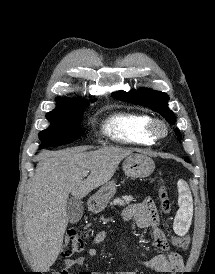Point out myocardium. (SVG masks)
I'll list each match as a JSON object with an SVG mask.
<instances>
[{"instance_id":"myocardium-1","label":"myocardium","mask_w":215,"mask_h":274,"mask_svg":"<svg viewBox=\"0 0 215 274\" xmlns=\"http://www.w3.org/2000/svg\"><path fill=\"white\" fill-rule=\"evenodd\" d=\"M148 133L154 140L163 139L169 133L168 124L162 119H151L148 124Z\"/></svg>"}]
</instances>
